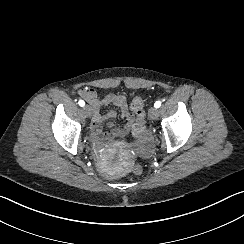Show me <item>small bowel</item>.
<instances>
[{
	"mask_svg": "<svg viewBox=\"0 0 244 244\" xmlns=\"http://www.w3.org/2000/svg\"><path fill=\"white\" fill-rule=\"evenodd\" d=\"M79 95L91 106L93 112L92 130L98 140H111L115 137H124L131 131V128L136 121L133 113L129 109L127 100L123 95L109 93L99 100L97 99L96 92L88 88L80 89ZM111 104L119 107L121 117L125 120V125L118 127L113 123H109L107 130L104 131L102 129V123L115 118L116 111L109 110L105 113H101L100 107ZM138 139L140 143L138 151L144 158H149L152 155L150 139L145 134Z\"/></svg>",
	"mask_w": 244,
	"mask_h": 244,
	"instance_id": "obj_1",
	"label": "small bowel"
}]
</instances>
